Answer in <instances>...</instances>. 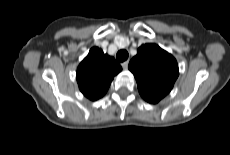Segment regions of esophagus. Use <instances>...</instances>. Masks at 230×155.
Instances as JSON below:
<instances>
[{
    "mask_svg": "<svg viewBox=\"0 0 230 155\" xmlns=\"http://www.w3.org/2000/svg\"><path fill=\"white\" fill-rule=\"evenodd\" d=\"M128 63H129V61L127 60V61L123 62L121 65L124 69H126L128 67Z\"/></svg>",
    "mask_w": 230,
    "mask_h": 155,
    "instance_id": "1",
    "label": "esophagus"
}]
</instances>
